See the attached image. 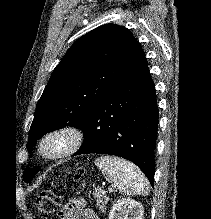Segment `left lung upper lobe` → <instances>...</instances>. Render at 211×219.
Segmentation results:
<instances>
[{"mask_svg":"<svg viewBox=\"0 0 211 219\" xmlns=\"http://www.w3.org/2000/svg\"><path fill=\"white\" fill-rule=\"evenodd\" d=\"M141 52L131 32L115 24H105L79 38L54 69L37 104L28 150L47 132L66 126L81 128L97 102ZM37 170H26L23 179L31 181Z\"/></svg>","mask_w":211,"mask_h":219,"instance_id":"obj_1","label":"left lung upper lobe"}]
</instances>
